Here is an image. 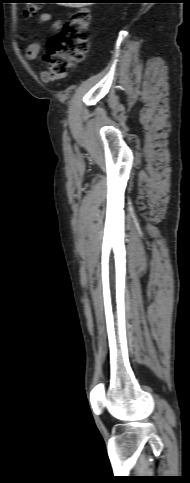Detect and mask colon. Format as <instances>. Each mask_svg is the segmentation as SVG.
<instances>
[{
	"label": "colon",
	"instance_id": "obj_1",
	"mask_svg": "<svg viewBox=\"0 0 190 483\" xmlns=\"http://www.w3.org/2000/svg\"><path fill=\"white\" fill-rule=\"evenodd\" d=\"M24 9L26 17L36 15L39 2L29 1ZM91 16L86 8L79 9L65 23L61 31L47 44L44 55L46 74L51 80H63L71 69L84 60L89 50Z\"/></svg>",
	"mask_w": 190,
	"mask_h": 483
}]
</instances>
